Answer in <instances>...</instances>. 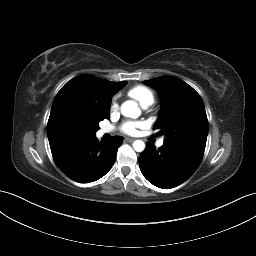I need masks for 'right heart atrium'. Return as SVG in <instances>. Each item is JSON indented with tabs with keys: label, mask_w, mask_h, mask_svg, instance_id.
Masks as SVG:
<instances>
[{
	"label": "right heart atrium",
	"mask_w": 256,
	"mask_h": 256,
	"mask_svg": "<svg viewBox=\"0 0 256 256\" xmlns=\"http://www.w3.org/2000/svg\"><path fill=\"white\" fill-rule=\"evenodd\" d=\"M118 108V104H117V101L116 99H112L111 103H110V110L111 111H116Z\"/></svg>",
	"instance_id": "right-heart-atrium-1"
}]
</instances>
